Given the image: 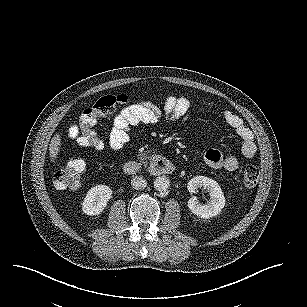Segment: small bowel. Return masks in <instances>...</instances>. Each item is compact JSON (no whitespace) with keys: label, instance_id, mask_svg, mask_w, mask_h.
I'll return each instance as SVG.
<instances>
[{"label":"small bowel","instance_id":"obj_1","mask_svg":"<svg viewBox=\"0 0 307 307\" xmlns=\"http://www.w3.org/2000/svg\"><path fill=\"white\" fill-rule=\"evenodd\" d=\"M211 106L210 103H202ZM194 103L188 97L168 96L162 109L151 102L140 101L123 108L113 119L109 133V146L114 150L121 149L130 139V130L139 124H155L161 118L169 122H184ZM226 123L236 132L241 141V150L245 157L252 158L256 154V144L251 130L245 125L240 116L232 111H225ZM70 137L79 139V131L73 127ZM205 162L212 168L235 171L239 162L234 156H224L218 149H208L204 154Z\"/></svg>","mask_w":307,"mask_h":307}]
</instances>
